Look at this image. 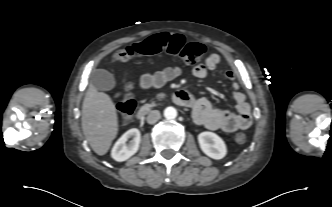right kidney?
<instances>
[{"mask_svg": "<svg viewBox=\"0 0 332 207\" xmlns=\"http://www.w3.org/2000/svg\"><path fill=\"white\" fill-rule=\"evenodd\" d=\"M132 139L129 144L126 142ZM141 141L140 131L136 128L130 129L125 132L115 143L111 151V157L122 162L133 156L139 149Z\"/></svg>", "mask_w": 332, "mask_h": 207, "instance_id": "obj_1", "label": "right kidney"}]
</instances>
